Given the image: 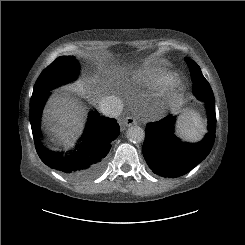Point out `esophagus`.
Masks as SVG:
<instances>
[{
  "instance_id": "34e87169",
  "label": "esophagus",
  "mask_w": 245,
  "mask_h": 245,
  "mask_svg": "<svg viewBox=\"0 0 245 245\" xmlns=\"http://www.w3.org/2000/svg\"><path fill=\"white\" fill-rule=\"evenodd\" d=\"M123 123L125 126L130 127L132 125H136L137 121L134 117L128 116V117L124 118Z\"/></svg>"
}]
</instances>
